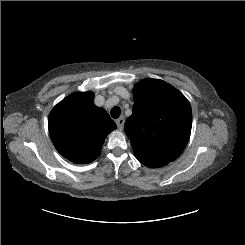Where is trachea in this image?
<instances>
[{
    "instance_id": "1",
    "label": "trachea",
    "mask_w": 245,
    "mask_h": 245,
    "mask_svg": "<svg viewBox=\"0 0 245 245\" xmlns=\"http://www.w3.org/2000/svg\"><path fill=\"white\" fill-rule=\"evenodd\" d=\"M121 114V109L118 106H115L111 109V116L113 118H118Z\"/></svg>"
}]
</instances>
